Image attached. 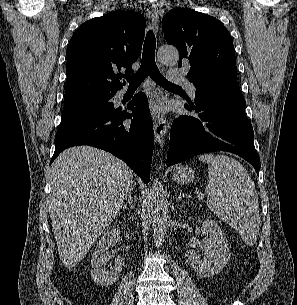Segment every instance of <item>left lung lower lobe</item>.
<instances>
[{
    "instance_id": "left-lung-lower-lobe-1",
    "label": "left lung lower lobe",
    "mask_w": 297,
    "mask_h": 305,
    "mask_svg": "<svg viewBox=\"0 0 297 305\" xmlns=\"http://www.w3.org/2000/svg\"><path fill=\"white\" fill-rule=\"evenodd\" d=\"M185 108L198 115L175 118L167 166L202 153L228 151L248 161L259 175L260 158L254 146V132L237 82L196 93L195 102L185 104Z\"/></svg>"
}]
</instances>
